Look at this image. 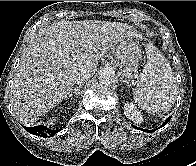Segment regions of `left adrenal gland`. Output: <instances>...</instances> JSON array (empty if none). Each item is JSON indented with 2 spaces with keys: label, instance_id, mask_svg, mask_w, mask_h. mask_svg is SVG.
<instances>
[{
  "label": "left adrenal gland",
  "instance_id": "a2214340",
  "mask_svg": "<svg viewBox=\"0 0 196 166\" xmlns=\"http://www.w3.org/2000/svg\"><path fill=\"white\" fill-rule=\"evenodd\" d=\"M120 79H121V82L126 83V84H128V86H130L129 82L124 78L123 75L120 77Z\"/></svg>",
  "mask_w": 196,
  "mask_h": 166
}]
</instances>
